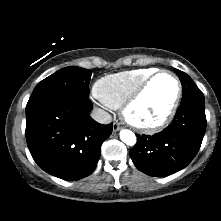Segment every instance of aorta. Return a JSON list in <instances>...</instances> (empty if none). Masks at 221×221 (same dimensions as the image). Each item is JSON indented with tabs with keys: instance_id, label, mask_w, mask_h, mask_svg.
Returning a JSON list of instances; mask_svg holds the SVG:
<instances>
[{
	"instance_id": "obj_1",
	"label": "aorta",
	"mask_w": 221,
	"mask_h": 221,
	"mask_svg": "<svg viewBox=\"0 0 221 221\" xmlns=\"http://www.w3.org/2000/svg\"><path fill=\"white\" fill-rule=\"evenodd\" d=\"M120 139L122 142H124L126 145H129V146H133L136 143L135 134L128 129L121 130Z\"/></svg>"
}]
</instances>
